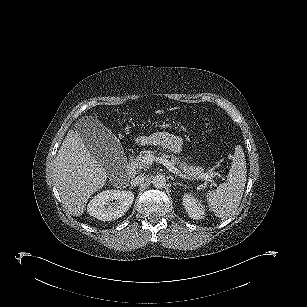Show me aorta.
<instances>
[{
    "label": "aorta",
    "mask_w": 307,
    "mask_h": 307,
    "mask_svg": "<svg viewBox=\"0 0 307 307\" xmlns=\"http://www.w3.org/2000/svg\"><path fill=\"white\" fill-rule=\"evenodd\" d=\"M152 184L155 188L161 189L166 185V178L163 175H156L152 179Z\"/></svg>",
    "instance_id": "obj_1"
}]
</instances>
